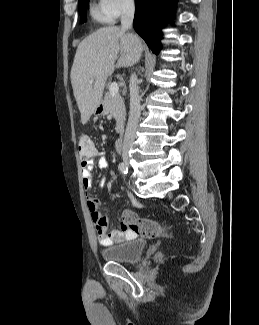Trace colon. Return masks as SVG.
Here are the masks:
<instances>
[{
	"label": "colon",
	"instance_id": "colon-1",
	"mask_svg": "<svg viewBox=\"0 0 259 325\" xmlns=\"http://www.w3.org/2000/svg\"><path fill=\"white\" fill-rule=\"evenodd\" d=\"M95 151L94 143L88 135H82L78 139V153L82 160L91 158ZM122 221L134 233L145 238L166 237L169 234L168 228L163 224L152 219L140 218L130 210L123 212Z\"/></svg>",
	"mask_w": 259,
	"mask_h": 325
}]
</instances>
